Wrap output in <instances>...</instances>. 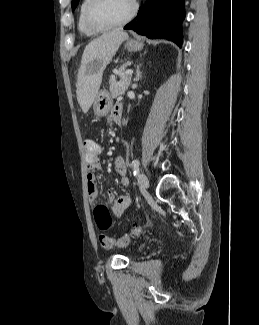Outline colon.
Returning a JSON list of instances; mask_svg holds the SVG:
<instances>
[{
    "mask_svg": "<svg viewBox=\"0 0 259 325\" xmlns=\"http://www.w3.org/2000/svg\"><path fill=\"white\" fill-rule=\"evenodd\" d=\"M85 157L89 159H94L98 155V145L91 139H86L83 142ZM94 217L96 223L100 229H107L112 222L110 212L105 205H98L94 209ZM142 232L140 226L135 227L129 234H125L118 239H115L106 234H101L99 236V242L104 249H113L117 247H125L130 241L138 237Z\"/></svg>",
    "mask_w": 259,
    "mask_h": 325,
    "instance_id": "1",
    "label": "colon"
}]
</instances>
